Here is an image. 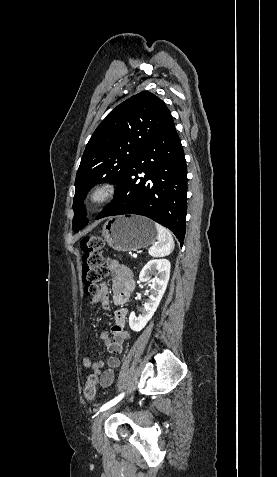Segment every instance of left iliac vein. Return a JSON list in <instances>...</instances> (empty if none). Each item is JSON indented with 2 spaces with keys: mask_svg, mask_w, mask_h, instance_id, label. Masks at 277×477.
<instances>
[{
  "mask_svg": "<svg viewBox=\"0 0 277 477\" xmlns=\"http://www.w3.org/2000/svg\"><path fill=\"white\" fill-rule=\"evenodd\" d=\"M112 411V409H107L100 414L97 415V417L93 421V426H92V436H93V442L95 444H100L102 442V423L103 420L106 418V416Z\"/></svg>",
  "mask_w": 277,
  "mask_h": 477,
  "instance_id": "obj_1",
  "label": "left iliac vein"
}]
</instances>
